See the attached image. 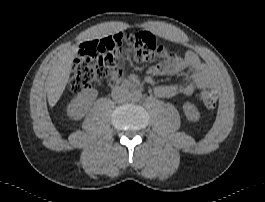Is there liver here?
<instances>
[{"label":"liver","instance_id":"6515ba94","mask_svg":"<svg viewBox=\"0 0 265 202\" xmlns=\"http://www.w3.org/2000/svg\"><path fill=\"white\" fill-rule=\"evenodd\" d=\"M78 49V46L74 45L61 54L48 76L47 98L50 107L56 105L65 90Z\"/></svg>","mask_w":265,"mask_h":202}]
</instances>
